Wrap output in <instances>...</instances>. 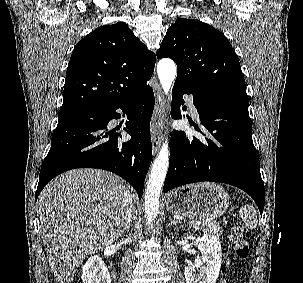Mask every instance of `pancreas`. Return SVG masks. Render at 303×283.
I'll return each mask as SVG.
<instances>
[{"label": "pancreas", "instance_id": "pancreas-1", "mask_svg": "<svg viewBox=\"0 0 303 283\" xmlns=\"http://www.w3.org/2000/svg\"><path fill=\"white\" fill-rule=\"evenodd\" d=\"M190 226L193 225L195 230H198L203 233H207L209 235H213L215 237H219V234L222 233V228L220 227L219 223L215 222H208L207 224H198V222L191 221L189 222Z\"/></svg>", "mask_w": 303, "mask_h": 283}]
</instances>
